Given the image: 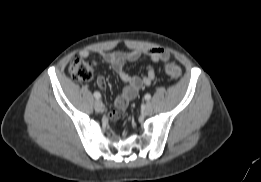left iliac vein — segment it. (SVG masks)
Returning <instances> with one entry per match:
<instances>
[{"label":"left iliac vein","mask_w":261,"mask_h":182,"mask_svg":"<svg viewBox=\"0 0 261 182\" xmlns=\"http://www.w3.org/2000/svg\"><path fill=\"white\" fill-rule=\"evenodd\" d=\"M153 111V107L150 103H146L145 106H144V112L146 114H151Z\"/></svg>","instance_id":"obj_1"}]
</instances>
